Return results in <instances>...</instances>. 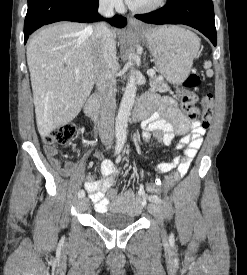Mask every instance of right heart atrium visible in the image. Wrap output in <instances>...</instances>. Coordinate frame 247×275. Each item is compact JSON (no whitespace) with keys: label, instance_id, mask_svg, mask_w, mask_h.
Segmentation results:
<instances>
[{"label":"right heart atrium","instance_id":"d8ad5b80","mask_svg":"<svg viewBox=\"0 0 247 275\" xmlns=\"http://www.w3.org/2000/svg\"><path fill=\"white\" fill-rule=\"evenodd\" d=\"M100 5L108 10L116 9L121 6V0H99Z\"/></svg>","mask_w":247,"mask_h":275}]
</instances>
